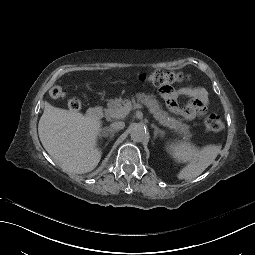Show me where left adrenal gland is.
<instances>
[{"label": "left adrenal gland", "mask_w": 255, "mask_h": 255, "mask_svg": "<svg viewBox=\"0 0 255 255\" xmlns=\"http://www.w3.org/2000/svg\"><path fill=\"white\" fill-rule=\"evenodd\" d=\"M151 127L154 128V138H156L158 134H160V135L165 134V132L163 130L159 129L156 125L151 124Z\"/></svg>", "instance_id": "left-adrenal-gland-1"}]
</instances>
